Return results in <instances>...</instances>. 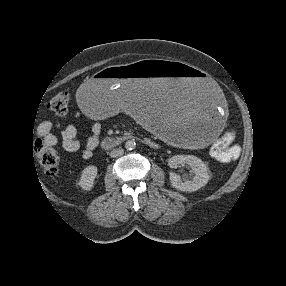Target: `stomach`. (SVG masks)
<instances>
[{
    "instance_id": "obj_1",
    "label": "stomach",
    "mask_w": 286,
    "mask_h": 286,
    "mask_svg": "<svg viewBox=\"0 0 286 286\" xmlns=\"http://www.w3.org/2000/svg\"><path fill=\"white\" fill-rule=\"evenodd\" d=\"M79 101L95 117L117 119L135 113L159 139L182 147L210 142L228 117L218 83L176 61L107 65L83 85Z\"/></svg>"
}]
</instances>
